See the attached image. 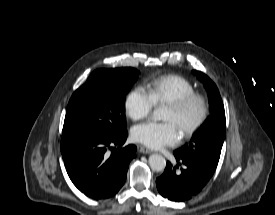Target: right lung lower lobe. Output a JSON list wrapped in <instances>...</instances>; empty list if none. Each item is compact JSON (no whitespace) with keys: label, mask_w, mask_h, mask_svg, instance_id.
<instances>
[{"label":"right lung lower lobe","mask_w":275,"mask_h":215,"mask_svg":"<svg viewBox=\"0 0 275 215\" xmlns=\"http://www.w3.org/2000/svg\"><path fill=\"white\" fill-rule=\"evenodd\" d=\"M127 135L126 130L112 137L71 136L61 139L67 173L86 196L107 199L124 185L129 163L136 156L134 145L122 147Z\"/></svg>","instance_id":"right-lung-lower-lobe-1"}]
</instances>
